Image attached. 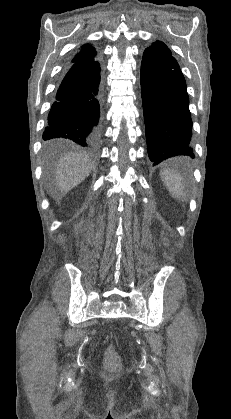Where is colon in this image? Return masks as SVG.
Listing matches in <instances>:
<instances>
[{"instance_id":"colon-1","label":"colon","mask_w":231,"mask_h":419,"mask_svg":"<svg viewBox=\"0 0 231 419\" xmlns=\"http://www.w3.org/2000/svg\"><path fill=\"white\" fill-rule=\"evenodd\" d=\"M120 366V359L114 350H109L105 358V367L110 370H116Z\"/></svg>"}]
</instances>
